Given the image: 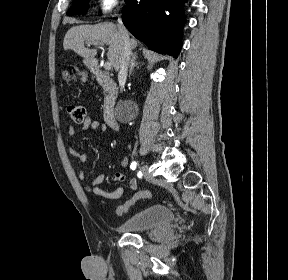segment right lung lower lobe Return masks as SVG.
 Returning <instances> with one entry per match:
<instances>
[{
	"label": "right lung lower lobe",
	"instance_id": "98d812e1",
	"mask_svg": "<svg viewBox=\"0 0 288 280\" xmlns=\"http://www.w3.org/2000/svg\"><path fill=\"white\" fill-rule=\"evenodd\" d=\"M125 3L122 19L126 28L149 49L176 58L185 22L182 0H125Z\"/></svg>",
	"mask_w": 288,
	"mask_h": 280
}]
</instances>
